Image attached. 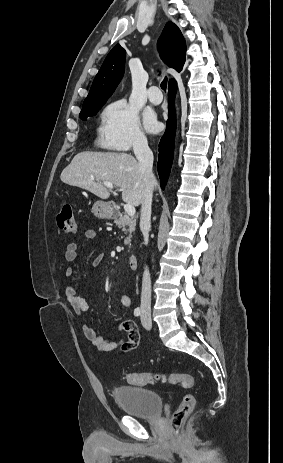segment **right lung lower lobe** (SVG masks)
<instances>
[{
    "mask_svg": "<svg viewBox=\"0 0 283 463\" xmlns=\"http://www.w3.org/2000/svg\"><path fill=\"white\" fill-rule=\"evenodd\" d=\"M175 92L176 83H169V118L166 122L167 128L165 134L159 143V158L157 165L162 189H164L169 176L174 152V139L176 131V117L174 110Z\"/></svg>",
    "mask_w": 283,
    "mask_h": 463,
    "instance_id": "obj_1",
    "label": "right lung lower lobe"
}]
</instances>
